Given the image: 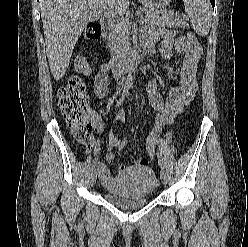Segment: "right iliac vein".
<instances>
[{"mask_svg": "<svg viewBox=\"0 0 248 247\" xmlns=\"http://www.w3.org/2000/svg\"><path fill=\"white\" fill-rule=\"evenodd\" d=\"M96 179H97V173H96V171H92L91 174H90V184H91V186L95 185Z\"/></svg>", "mask_w": 248, "mask_h": 247, "instance_id": "63e3f726", "label": "right iliac vein"}]
</instances>
